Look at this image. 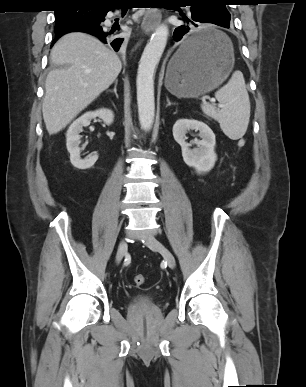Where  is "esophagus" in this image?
I'll list each match as a JSON object with an SVG mask.
<instances>
[{
  "label": "esophagus",
  "instance_id": "34e87169",
  "mask_svg": "<svg viewBox=\"0 0 306 387\" xmlns=\"http://www.w3.org/2000/svg\"><path fill=\"white\" fill-rule=\"evenodd\" d=\"M162 18L161 11L156 8L147 9L141 23V28L145 33L153 31L160 23Z\"/></svg>",
  "mask_w": 306,
  "mask_h": 387
}]
</instances>
